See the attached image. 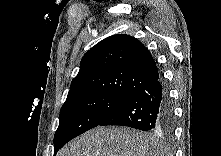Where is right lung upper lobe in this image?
<instances>
[{
  "label": "right lung upper lobe",
  "instance_id": "right-lung-upper-lobe-1",
  "mask_svg": "<svg viewBox=\"0 0 221 156\" xmlns=\"http://www.w3.org/2000/svg\"><path fill=\"white\" fill-rule=\"evenodd\" d=\"M157 79L156 63L142 43L126 34L112 35L82 57L66 101L93 94L131 97Z\"/></svg>",
  "mask_w": 221,
  "mask_h": 156
}]
</instances>
